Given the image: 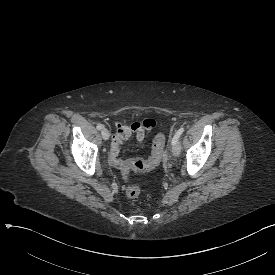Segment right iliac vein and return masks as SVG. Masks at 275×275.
Returning a JSON list of instances; mask_svg holds the SVG:
<instances>
[{
  "label": "right iliac vein",
  "mask_w": 275,
  "mask_h": 275,
  "mask_svg": "<svg viewBox=\"0 0 275 275\" xmlns=\"http://www.w3.org/2000/svg\"><path fill=\"white\" fill-rule=\"evenodd\" d=\"M101 135H102V137H103L104 140H108L109 137H110L109 131L107 129H105V128H103L101 130Z\"/></svg>",
  "instance_id": "right-iliac-vein-1"
}]
</instances>
